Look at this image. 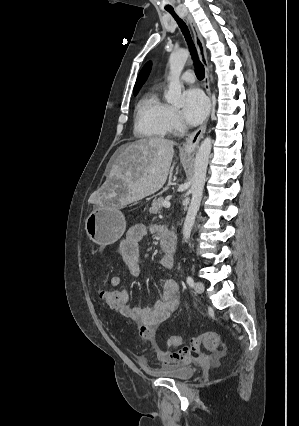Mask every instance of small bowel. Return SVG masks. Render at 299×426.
Returning a JSON list of instances; mask_svg holds the SVG:
<instances>
[{"label":"small bowel","mask_w":299,"mask_h":426,"mask_svg":"<svg viewBox=\"0 0 299 426\" xmlns=\"http://www.w3.org/2000/svg\"><path fill=\"white\" fill-rule=\"evenodd\" d=\"M163 229L153 227L152 232L161 234ZM147 228L144 225H135L131 227L126 237L122 240L119 247V253L133 276L140 273V252L139 243L147 234ZM160 265L165 269H171L174 265L173 257L164 254L159 260ZM112 287H120L121 305L118 312L124 317L130 319L137 327L140 336L156 344V333L159 324L165 321L179 305V287L176 281L168 279L163 283L161 298L151 307H132L128 304L129 295L119 275L110 279ZM156 359L163 366H174L178 364L190 363L194 357L188 351L179 350L178 352H164L156 349Z\"/></svg>","instance_id":"1"}]
</instances>
